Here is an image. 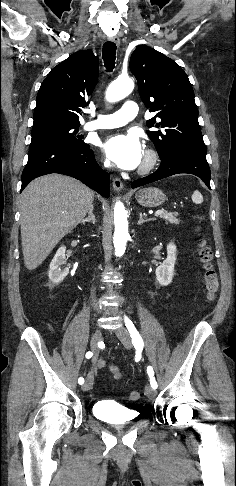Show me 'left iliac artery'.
Instances as JSON below:
<instances>
[{"label":"left iliac artery","instance_id":"left-iliac-artery-1","mask_svg":"<svg viewBox=\"0 0 236 486\" xmlns=\"http://www.w3.org/2000/svg\"><path fill=\"white\" fill-rule=\"evenodd\" d=\"M125 325L130 333V336H131V339H132V343L134 344V347H142L143 348V340L139 334V332L137 331L136 327L134 326L133 322L125 316ZM147 373L150 377V384H151V387L156 389L157 388V382L154 378V371H153V368L151 366H148L147 367Z\"/></svg>","mask_w":236,"mask_h":486}]
</instances>
